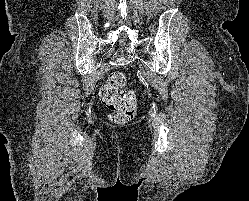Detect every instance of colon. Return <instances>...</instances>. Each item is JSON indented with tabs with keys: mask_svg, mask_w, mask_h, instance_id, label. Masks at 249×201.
Returning a JSON list of instances; mask_svg holds the SVG:
<instances>
[{
	"mask_svg": "<svg viewBox=\"0 0 249 201\" xmlns=\"http://www.w3.org/2000/svg\"><path fill=\"white\" fill-rule=\"evenodd\" d=\"M126 79L122 72H113L101 87L99 96L110 111V119L116 124H125L132 120L136 113L134 92L125 89Z\"/></svg>",
	"mask_w": 249,
	"mask_h": 201,
	"instance_id": "obj_1",
	"label": "colon"
}]
</instances>
